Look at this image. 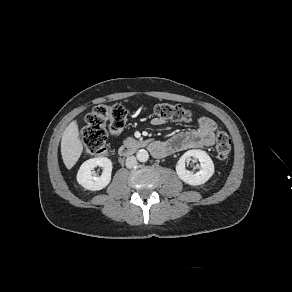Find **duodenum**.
<instances>
[{"label":"duodenum","instance_id":"1","mask_svg":"<svg viewBox=\"0 0 292 292\" xmlns=\"http://www.w3.org/2000/svg\"><path fill=\"white\" fill-rule=\"evenodd\" d=\"M149 148L153 149V145L148 143L147 141H139L135 139L126 140L119 149V154L121 156H129L134 153L138 149Z\"/></svg>","mask_w":292,"mask_h":292}]
</instances>
